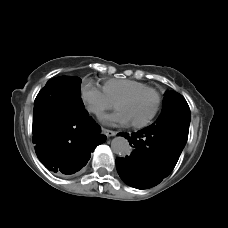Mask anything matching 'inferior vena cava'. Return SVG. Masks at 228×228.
Returning a JSON list of instances; mask_svg holds the SVG:
<instances>
[{
	"label": "inferior vena cava",
	"mask_w": 228,
	"mask_h": 228,
	"mask_svg": "<svg viewBox=\"0 0 228 228\" xmlns=\"http://www.w3.org/2000/svg\"><path fill=\"white\" fill-rule=\"evenodd\" d=\"M90 111L95 113L96 115H99V114H101L102 109L97 106H90Z\"/></svg>",
	"instance_id": "obj_1"
}]
</instances>
